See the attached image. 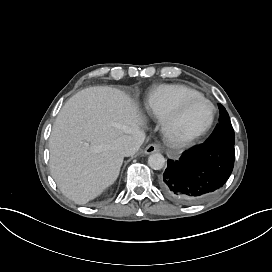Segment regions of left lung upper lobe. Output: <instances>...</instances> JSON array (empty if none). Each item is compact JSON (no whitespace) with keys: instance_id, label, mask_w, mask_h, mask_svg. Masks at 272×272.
Returning a JSON list of instances; mask_svg holds the SVG:
<instances>
[{"instance_id":"obj_1","label":"left lung upper lobe","mask_w":272,"mask_h":272,"mask_svg":"<svg viewBox=\"0 0 272 272\" xmlns=\"http://www.w3.org/2000/svg\"><path fill=\"white\" fill-rule=\"evenodd\" d=\"M220 110V121L215 132L208 138L205 144H218L234 147L235 135L232 128L229 115L223 105H218Z\"/></svg>"}]
</instances>
